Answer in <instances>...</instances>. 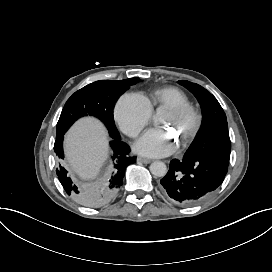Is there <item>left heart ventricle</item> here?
Here are the masks:
<instances>
[{
    "label": "left heart ventricle",
    "mask_w": 272,
    "mask_h": 272,
    "mask_svg": "<svg viewBox=\"0 0 272 272\" xmlns=\"http://www.w3.org/2000/svg\"><path fill=\"white\" fill-rule=\"evenodd\" d=\"M163 123L172 125L175 128H177L179 131H182L181 120L178 117V115L175 114L174 112L167 110Z\"/></svg>",
    "instance_id": "b2bd125f"
}]
</instances>
